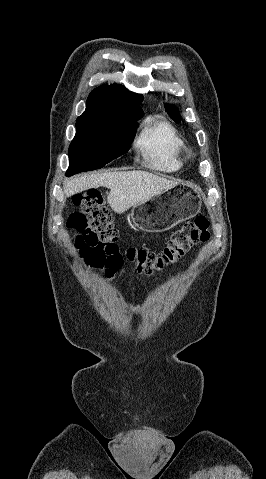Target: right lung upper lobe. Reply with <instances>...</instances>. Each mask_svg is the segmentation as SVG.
I'll use <instances>...</instances> for the list:
<instances>
[{
	"mask_svg": "<svg viewBox=\"0 0 266 479\" xmlns=\"http://www.w3.org/2000/svg\"><path fill=\"white\" fill-rule=\"evenodd\" d=\"M142 101L141 94L132 93L124 86L103 85L90 93L86 110L78 119L136 121L144 115L142 108L137 104Z\"/></svg>",
	"mask_w": 266,
	"mask_h": 479,
	"instance_id": "right-lung-upper-lobe-1",
	"label": "right lung upper lobe"
}]
</instances>
